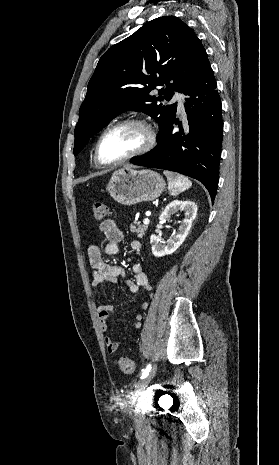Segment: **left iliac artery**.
<instances>
[{
	"mask_svg": "<svg viewBox=\"0 0 279 465\" xmlns=\"http://www.w3.org/2000/svg\"><path fill=\"white\" fill-rule=\"evenodd\" d=\"M150 370H151V365L149 364V365L146 367V369H144V370L142 371L141 379L145 378V377L149 374Z\"/></svg>",
	"mask_w": 279,
	"mask_h": 465,
	"instance_id": "1",
	"label": "left iliac artery"
}]
</instances>
